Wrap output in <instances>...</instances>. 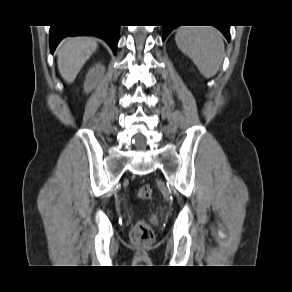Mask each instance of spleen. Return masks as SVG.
Wrapping results in <instances>:
<instances>
[{
  "label": "spleen",
  "instance_id": "3e777b00",
  "mask_svg": "<svg viewBox=\"0 0 292 292\" xmlns=\"http://www.w3.org/2000/svg\"><path fill=\"white\" fill-rule=\"evenodd\" d=\"M175 42L205 78L218 72L224 58L222 34L214 27L184 26L177 29Z\"/></svg>",
  "mask_w": 292,
  "mask_h": 292
}]
</instances>
